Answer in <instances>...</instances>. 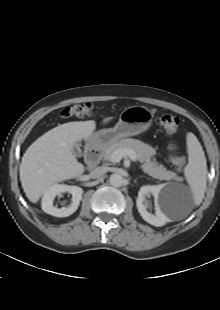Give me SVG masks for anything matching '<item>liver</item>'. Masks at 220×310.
I'll list each match as a JSON object with an SVG mask.
<instances>
[{"label": "liver", "mask_w": 220, "mask_h": 310, "mask_svg": "<svg viewBox=\"0 0 220 310\" xmlns=\"http://www.w3.org/2000/svg\"><path fill=\"white\" fill-rule=\"evenodd\" d=\"M112 118H105L103 123ZM96 128L94 120L59 125L34 141L20 164V181L26 197L36 203L52 185L81 176L85 167L72 152L81 140H88Z\"/></svg>", "instance_id": "1"}]
</instances>
